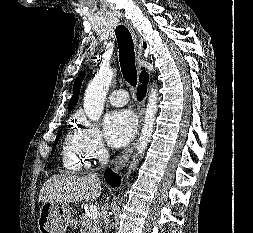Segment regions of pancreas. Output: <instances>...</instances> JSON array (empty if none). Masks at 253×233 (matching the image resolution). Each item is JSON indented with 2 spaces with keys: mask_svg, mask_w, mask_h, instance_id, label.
I'll return each mask as SVG.
<instances>
[{
  "mask_svg": "<svg viewBox=\"0 0 253 233\" xmlns=\"http://www.w3.org/2000/svg\"><path fill=\"white\" fill-rule=\"evenodd\" d=\"M81 233H102L99 218L91 219L87 214H83L79 221Z\"/></svg>",
  "mask_w": 253,
  "mask_h": 233,
  "instance_id": "obj_1",
  "label": "pancreas"
}]
</instances>
